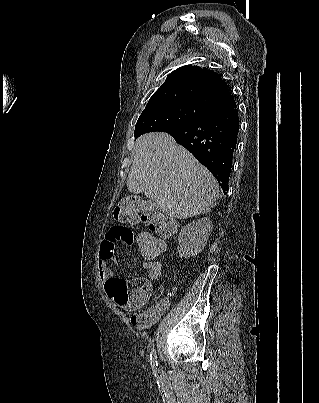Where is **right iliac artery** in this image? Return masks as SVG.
<instances>
[{
    "instance_id": "82829eb1",
    "label": "right iliac artery",
    "mask_w": 319,
    "mask_h": 403,
    "mask_svg": "<svg viewBox=\"0 0 319 403\" xmlns=\"http://www.w3.org/2000/svg\"><path fill=\"white\" fill-rule=\"evenodd\" d=\"M150 359H151V366L152 369L158 370V363H157V355L154 347L152 348L151 354H150Z\"/></svg>"
}]
</instances>
